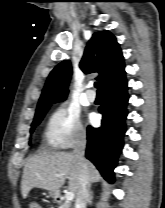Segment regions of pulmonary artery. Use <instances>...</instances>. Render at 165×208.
<instances>
[{
	"mask_svg": "<svg viewBox=\"0 0 165 208\" xmlns=\"http://www.w3.org/2000/svg\"><path fill=\"white\" fill-rule=\"evenodd\" d=\"M86 99L89 102H94L96 100V95L92 92H89V93L86 94Z\"/></svg>",
	"mask_w": 165,
	"mask_h": 208,
	"instance_id": "obj_1",
	"label": "pulmonary artery"
}]
</instances>
